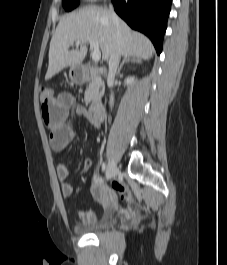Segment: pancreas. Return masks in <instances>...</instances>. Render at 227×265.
<instances>
[{
    "instance_id": "pancreas-1",
    "label": "pancreas",
    "mask_w": 227,
    "mask_h": 265,
    "mask_svg": "<svg viewBox=\"0 0 227 265\" xmlns=\"http://www.w3.org/2000/svg\"><path fill=\"white\" fill-rule=\"evenodd\" d=\"M100 87L103 89V82L99 76L91 72V82L85 92V101H91L94 97L99 95Z\"/></svg>"
}]
</instances>
